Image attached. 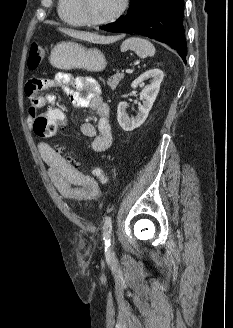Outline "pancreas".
<instances>
[{
  "label": "pancreas",
  "mask_w": 233,
  "mask_h": 328,
  "mask_svg": "<svg viewBox=\"0 0 233 328\" xmlns=\"http://www.w3.org/2000/svg\"><path fill=\"white\" fill-rule=\"evenodd\" d=\"M123 78V73H116L115 75L108 78L107 85L110 86L112 90H114Z\"/></svg>",
  "instance_id": "obj_1"
}]
</instances>
